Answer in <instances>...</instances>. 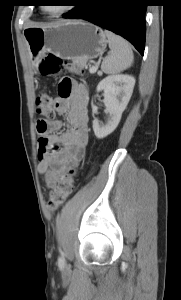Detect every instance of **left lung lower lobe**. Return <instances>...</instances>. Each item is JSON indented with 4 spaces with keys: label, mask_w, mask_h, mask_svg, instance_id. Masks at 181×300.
Here are the masks:
<instances>
[{
    "label": "left lung lower lobe",
    "mask_w": 181,
    "mask_h": 300,
    "mask_svg": "<svg viewBox=\"0 0 181 300\" xmlns=\"http://www.w3.org/2000/svg\"><path fill=\"white\" fill-rule=\"evenodd\" d=\"M64 18L85 19L127 39L141 55L145 48L144 0H80Z\"/></svg>",
    "instance_id": "1"
}]
</instances>
